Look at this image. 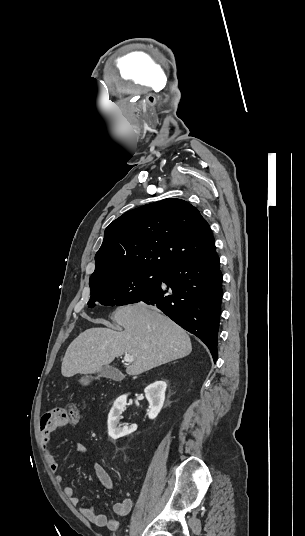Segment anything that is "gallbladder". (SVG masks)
<instances>
[{"label": "gallbladder", "mask_w": 305, "mask_h": 536, "mask_svg": "<svg viewBox=\"0 0 305 536\" xmlns=\"http://www.w3.org/2000/svg\"><path fill=\"white\" fill-rule=\"evenodd\" d=\"M122 374L117 370V368H112V366H102L100 372L97 376H82L79 382L82 386H89L92 380H98V378H111V380H120Z\"/></svg>", "instance_id": "gallbladder-1"}]
</instances>
